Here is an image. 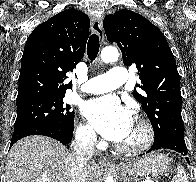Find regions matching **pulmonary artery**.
<instances>
[{
    "instance_id": "e3ab8cb5",
    "label": "pulmonary artery",
    "mask_w": 196,
    "mask_h": 182,
    "mask_svg": "<svg viewBox=\"0 0 196 182\" xmlns=\"http://www.w3.org/2000/svg\"><path fill=\"white\" fill-rule=\"evenodd\" d=\"M128 73L122 67H112L107 74L89 79L81 88L89 94H102L123 86L127 81Z\"/></svg>"
}]
</instances>
